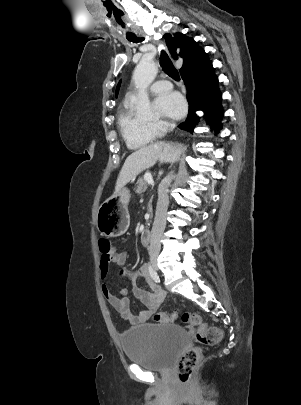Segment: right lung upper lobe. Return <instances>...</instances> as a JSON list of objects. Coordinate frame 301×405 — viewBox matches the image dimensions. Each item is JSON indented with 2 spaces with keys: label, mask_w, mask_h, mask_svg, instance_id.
Returning a JSON list of instances; mask_svg holds the SVG:
<instances>
[{
  "label": "right lung upper lobe",
  "mask_w": 301,
  "mask_h": 405,
  "mask_svg": "<svg viewBox=\"0 0 301 405\" xmlns=\"http://www.w3.org/2000/svg\"><path fill=\"white\" fill-rule=\"evenodd\" d=\"M164 38L170 54L175 59L178 58L176 49L180 48L179 56L184 60L180 72L188 70L208 59L204 50L192 38L185 37L183 34H175L174 37L170 34H165Z\"/></svg>",
  "instance_id": "cb5924a9"
}]
</instances>
